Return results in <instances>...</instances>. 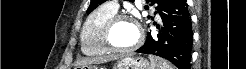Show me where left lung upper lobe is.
<instances>
[{"mask_svg": "<svg viewBox=\"0 0 246 69\" xmlns=\"http://www.w3.org/2000/svg\"><path fill=\"white\" fill-rule=\"evenodd\" d=\"M105 1L106 0H91L87 13H90L91 11H93L95 8H97L100 4H102ZM129 1L133 2L134 0H129ZM169 1L170 0H147V2L151 3L150 5H153L155 3L158 4L157 6L158 13L169 3ZM145 9H148V6H145Z\"/></svg>", "mask_w": 246, "mask_h": 69, "instance_id": "obj_1", "label": "left lung upper lobe"}]
</instances>
